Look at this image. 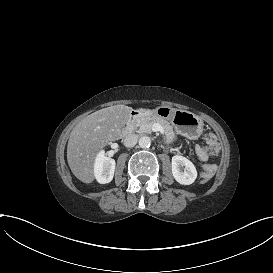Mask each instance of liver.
Wrapping results in <instances>:
<instances>
[{"label": "liver", "mask_w": 273, "mask_h": 273, "mask_svg": "<svg viewBox=\"0 0 273 273\" xmlns=\"http://www.w3.org/2000/svg\"><path fill=\"white\" fill-rule=\"evenodd\" d=\"M131 110L126 105L103 108L82 119L72 130L67 161L80 181L91 183L94 180L93 164L97 152L108 142L122 137L121 128L130 119Z\"/></svg>", "instance_id": "liver-1"}]
</instances>
